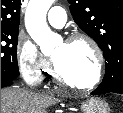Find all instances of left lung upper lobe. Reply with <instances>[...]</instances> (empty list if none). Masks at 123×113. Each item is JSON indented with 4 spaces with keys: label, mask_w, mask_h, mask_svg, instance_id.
<instances>
[{
    "label": "left lung upper lobe",
    "mask_w": 123,
    "mask_h": 113,
    "mask_svg": "<svg viewBox=\"0 0 123 113\" xmlns=\"http://www.w3.org/2000/svg\"><path fill=\"white\" fill-rule=\"evenodd\" d=\"M76 24L103 51L106 72L101 86L123 84V0H68Z\"/></svg>",
    "instance_id": "5c2ea615"
}]
</instances>
